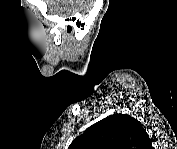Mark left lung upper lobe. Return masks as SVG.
<instances>
[{"mask_svg": "<svg viewBox=\"0 0 177 149\" xmlns=\"http://www.w3.org/2000/svg\"><path fill=\"white\" fill-rule=\"evenodd\" d=\"M148 134L127 114H113L90 126L69 149H147Z\"/></svg>", "mask_w": 177, "mask_h": 149, "instance_id": "1", "label": "left lung upper lobe"}]
</instances>
